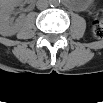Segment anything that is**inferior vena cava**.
<instances>
[{
    "label": "inferior vena cava",
    "mask_w": 103,
    "mask_h": 103,
    "mask_svg": "<svg viewBox=\"0 0 103 103\" xmlns=\"http://www.w3.org/2000/svg\"><path fill=\"white\" fill-rule=\"evenodd\" d=\"M36 5L38 9L44 10L48 8L49 2L47 0H39Z\"/></svg>",
    "instance_id": "obj_1"
}]
</instances>
